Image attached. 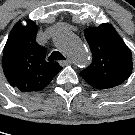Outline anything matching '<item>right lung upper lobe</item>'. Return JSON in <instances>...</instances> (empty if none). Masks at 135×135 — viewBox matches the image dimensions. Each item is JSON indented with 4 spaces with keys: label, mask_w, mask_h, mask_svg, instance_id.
<instances>
[{
    "label": "right lung upper lobe",
    "mask_w": 135,
    "mask_h": 135,
    "mask_svg": "<svg viewBox=\"0 0 135 135\" xmlns=\"http://www.w3.org/2000/svg\"><path fill=\"white\" fill-rule=\"evenodd\" d=\"M37 30V25L31 20H27V25L18 21L4 47V75L10 85L21 92L44 89L62 69L57 62L45 60L46 49L35 40Z\"/></svg>",
    "instance_id": "obj_1"
}]
</instances>
